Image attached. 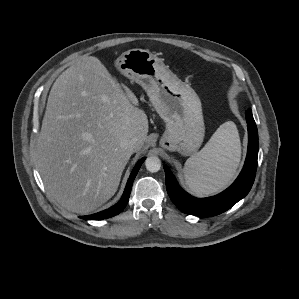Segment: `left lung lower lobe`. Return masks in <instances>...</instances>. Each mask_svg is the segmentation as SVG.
Listing matches in <instances>:
<instances>
[{
	"label": "left lung lower lobe",
	"instance_id": "0a47b994",
	"mask_svg": "<svg viewBox=\"0 0 299 299\" xmlns=\"http://www.w3.org/2000/svg\"><path fill=\"white\" fill-rule=\"evenodd\" d=\"M245 115L249 139L245 164L235 182L222 193L208 198H195L185 192L170 169L164 167L168 195L180 211L201 217L215 216L227 211L248 194L257 169L258 132L251 109H248Z\"/></svg>",
	"mask_w": 299,
	"mask_h": 299
}]
</instances>
